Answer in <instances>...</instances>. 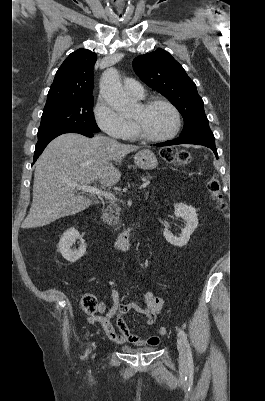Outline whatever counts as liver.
<instances>
[{"mask_svg":"<svg viewBox=\"0 0 265 401\" xmlns=\"http://www.w3.org/2000/svg\"><path fill=\"white\" fill-rule=\"evenodd\" d=\"M137 148L140 146L122 144L100 134L86 138L67 132L51 140L35 162L33 201L23 229L44 227L88 209L92 201L76 194L74 184L88 186L99 180L104 186H113L120 180L121 172L111 160L121 164L124 156Z\"/></svg>","mask_w":265,"mask_h":401,"instance_id":"liver-1","label":"liver"}]
</instances>
